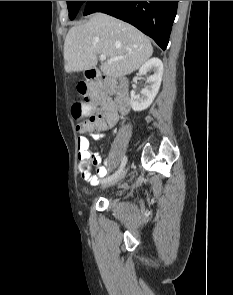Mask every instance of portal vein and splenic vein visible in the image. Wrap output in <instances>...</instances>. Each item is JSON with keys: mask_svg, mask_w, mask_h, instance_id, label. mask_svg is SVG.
<instances>
[{"mask_svg": "<svg viewBox=\"0 0 233 295\" xmlns=\"http://www.w3.org/2000/svg\"><path fill=\"white\" fill-rule=\"evenodd\" d=\"M99 58H100L101 61H105L106 60V55L101 54ZM119 59L120 58H113V59H108V61H116V60H119Z\"/></svg>", "mask_w": 233, "mask_h": 295, "instance_id": "1", "label": "portal vein and splenic vein"}]
</instances>
